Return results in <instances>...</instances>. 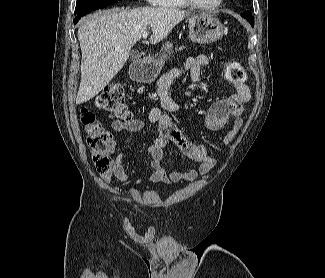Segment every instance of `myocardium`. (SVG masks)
Returning <instances> with one entry per match:
<instances>
[{
    "instance_id": "1",
    "label": "myocardium",
    "mask_w": 325,
    "mask_h": 278,
    "mask_svg": "<svg viewBox=\"0 0 325 278\" xmlns=\"http://www.w3.org/2000/svg\"><path fill=\"white\" fill-rule=\"evenodd\" d=\"M183 1L185 2V4L187 6H190L192 8L199 9V10H213V9L218 8L224 2V0H217L212 4L205 5V4H200V3L196 2L195 0H183Z\"/></svg>"
}]
</instances>
